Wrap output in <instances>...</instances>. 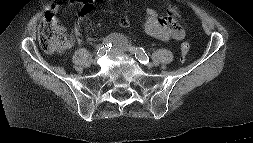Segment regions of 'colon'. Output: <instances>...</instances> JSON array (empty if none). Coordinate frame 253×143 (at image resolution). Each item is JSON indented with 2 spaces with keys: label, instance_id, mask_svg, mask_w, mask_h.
Segmentation results:
<instances>
[{
  "label": "colon",
  "instance_id": "colon-1",
  "mask_svg": "<svg viewBox=\"0 0 253 143\" xmlns=\"http://www.w3.org/2000/svg\"><path fill=\"white\" fill-rule=\"evenodd\" d=\"M39 43L45 52L53 53L63 51L66 46L65 29L47 17L39 29ZM189 50L190 41H184L180 46L181 61L186 59Z\"/></svg>",
  "mask_w": 253,
  "mask_h": 143
}]
</instances>
